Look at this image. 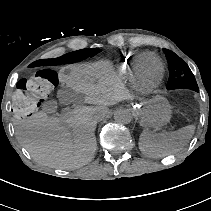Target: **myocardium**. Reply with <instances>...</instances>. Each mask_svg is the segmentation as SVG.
<instances>
[{"label": "myocardium", "mask_w": 211, "mask_h": 211, "mask_svg": "<svg viewBox=\"0 0 211 211\" xmlns=\"http://www.w3.org/2000/svg\"><path fill=\"white\" fill-rule=\"evenodd\" d=\"M158 63V66L159 68L161 69V65L159 62ZM159 84V78H152V77H147V78H144L140 81V89L142 91H145V92H148V91H152L153 89H155Z\"/></svg>", "instance_id": "obj_1"}]
</instances>
